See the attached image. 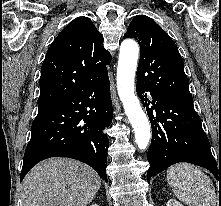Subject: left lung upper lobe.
Returning a JSON list of instances; mask_svg holds the SVG:
<instances>
[{
	"label": "left lung upper lobe",
	"instance_id": "left-lung-upper-lobe-1",
	"mask_svg": "<svg viewBox=\"0 0 221 206\" xmlns=\"http://www.w3.org/2000/svg\"><path fill=\"white\" fill-rule=\"evenodd\" d=\"M135 38L140 45L137 84L172 102L193 105L184 63L178 48L150 17L137 15L124 38Z\"/></svg>",
	"mask_w": 221,
	"mask_h": 206
}]
</instances>
